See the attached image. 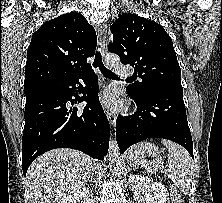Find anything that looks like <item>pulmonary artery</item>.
<instances>
[{
    "instance_id": "e3ab8cb5",
    "label": "pulmonary artery",
    "mask_w": 222,
    "mask_h": 203,
    "mask_svg": "<svg viewBox=\"0 0 222 203\" xmlns=\"http://www.w3.org/2000/svg\"><path fill=\"white\" fill-rule=\"evenodd\" d=\"M116 74L121 77H127L132 75L131 69L126 65H118L116 67Z\"/></svg>"
}]
</instances>
